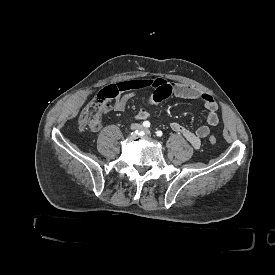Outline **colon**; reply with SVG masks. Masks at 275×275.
I'll use <instances>...</instances> for the list:
<instances>
[{
    "mask_svg": "<svg viewBox=\"0 0 275 275\" xmlns=\"http://www.w3.org/2000/svg\"><path fill=\"white\" fill-rule=\"evenodd\" d=\"M105 112V106L102 102L97 101L90 104L81 114L79 119V126L86 128L90 123L95 122ZM209 143L214 145L217 142L216 136L209 137Z\"/></svg>",
    "mask_w": 275,
    "mask_h": 275,
    "instance_id": "5ec220e1",
    "label": "colon"
}]
</instances>
